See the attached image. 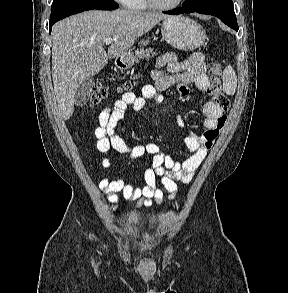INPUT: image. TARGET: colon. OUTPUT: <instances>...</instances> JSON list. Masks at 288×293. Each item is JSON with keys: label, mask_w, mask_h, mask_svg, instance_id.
<instances>
[{"label": "colon", "mask_w": 288, "mask_h": 293, "mask_svg": "<svg viewBox=\"0 0 288 293\" xmlns=\"http://www.w3.org/2000/svg\"><path fill=\"white\" fill-rule=\"evenodd\" d=\"M210 79L211 84L208 88V92L213 96L214 101L223 110L227 111L229 109V99L223 93L221 86V65L217 62L210 65ZM132 89V84L127 83L124 85L123 90L130 92ZM108 96V88L102 82H95L91 88V102L98 104L103 101Z\"/></svg>", "instance_id": "colon-1"}]
</instances>
